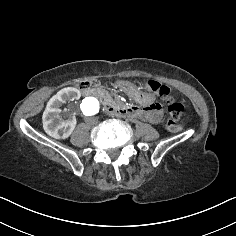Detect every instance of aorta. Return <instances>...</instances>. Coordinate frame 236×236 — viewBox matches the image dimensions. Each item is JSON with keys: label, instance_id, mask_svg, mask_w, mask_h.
Returning a JSON list of instances; mask_svg holds the SVG:
<instances>
[{"label": "aorta", "instance_id": "762f6f07", "mask_svg": "<svg viewBox=\"0 0 236 236\" xmlns=\"http://www.w3.org/2000/svg\"><path fill=\"white\" fill-rule=\"evenodd\" d=\"M100 110V101L98 98L89 96L82 100L80 105L81 114L84 118L94 117L99 113Z\"/></svg>", "mask_w": 236, "mask_h": 236}]
</instances>
